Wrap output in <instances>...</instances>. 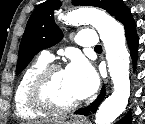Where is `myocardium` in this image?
<instances>
[{
  "instance_id": "f54148a6",
  "label": "myocardium",
  "mask_w": 145,
  "mask_h": 124,
  "mask_svg": "<svg viewBox=\"0 0 145 124\" xmlns=\"http://www.w3.org/2000/svg\"><path fill=\"white\" fill-rule=\"evenodd\" d=\"M59 71H64L60 65L50 64L40 70L34 77L28 91V102L35 111L48 114H64L79 106V101L68 105H60L52 98L49 84L52 76Z\"/></svg>"
}]
</instances>
